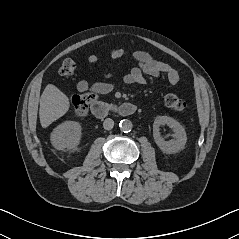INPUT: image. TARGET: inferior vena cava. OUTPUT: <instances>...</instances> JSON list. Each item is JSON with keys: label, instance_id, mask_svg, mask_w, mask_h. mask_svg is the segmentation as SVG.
I'll return each instance as SVG.
<instances>
[{"label": "inferior vena cava", "instance_id": "inferior-vena-cava-1", "mask_svg": "<svg viewBox=\"0 0 239 239\" xmlns=\"http://www.w3.org/2000/svg\"><path fill=\"white\" fill-rule=\"evenodd\" d=\"M114 127V121L110 118H106L103 122V128L105 130H111Z\"/></svg>", "mask_w": 239, "mask_h": 239}]
</instances>
